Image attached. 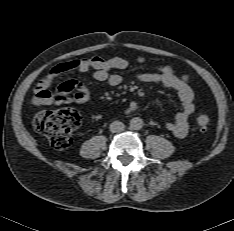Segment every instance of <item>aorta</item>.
Instances as JSON below:
<instances>
[{
    "label": "aorta",
    "mask_w": 234,
    "mask_h": 231,
    "mask_svg": "<svg viewBox=\"0 0 234 231\" xmlns=\"http://www.w3.org/2000/svg\"><path fill=\"white\" fill-rule=\"evenodd\" d=\"M144 125L143 120L140 117H134L130 120L129 127L132 130H140Z\"/></svg>",
    "instance_id": "762f6f07"
}]
</instances>
